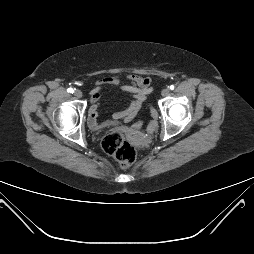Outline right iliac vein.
Segmentation results:
<instances>
[{
  "mask_svg": "<svg viewBox=\"0 0 254 254\" xmlns=\"http://www.w3.org/2000/svg\"><path fill=\"white\" fill-rule=\"evenodd\" d=\"M74 95L77 97V98H81L82 97V92L81 90L77 89L74 91Z\"/></svg>",
  "mask_w": 254,
  "mask_h": 254,
  "instance_id": "63e3f726",
  "label": "right iliac vein"
}]
</instances>
